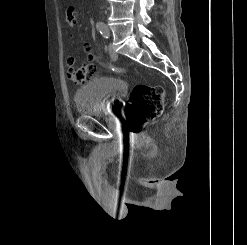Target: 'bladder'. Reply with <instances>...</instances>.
Instances as JSON below:
<instances>
[{"mask_svg": "<svg viewBox=\"0 0 247 245\" xmlns=\"http://www.w3.org/2000/svg\"><path fill=\"white\" fill-rule=\"evenodd\" d=\"M128 91V83L116 76H96L75 93V106L80 115L101 116L115 113Z\"/></svg>", "mask_w": 247, "mask_h": 245, "instance_id": "bladder-1", "label": "bladder"}]
</instances>
